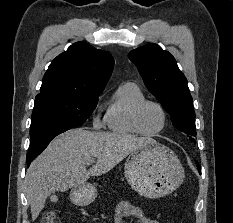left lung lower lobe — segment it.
Masks as SVG:
<instances>
[{
    "label": "left lung lower lobe",
    "instance_id": "obj_1",
    "mask_svg": "<svg viewBox=\"0 0 233 223\" xmlns=\"http://www.w3.org/2000/svg\"><path fill=\"white\" fill-rule=\"evenodd\" d=\"M196 165H197L199 173L201 174V167H200V165L198 163H196Z\"/></svg>",
    "mask_w": 233,
    "mask_h": 223
}]
</instances>
